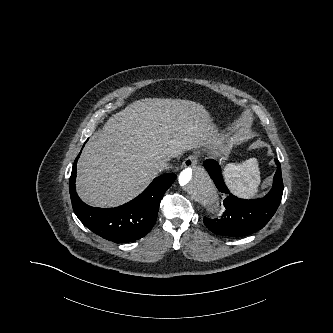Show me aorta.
<instances>
[{"mask_svg":"<svg viewBox=\"0 0 333 333\" xmlns=\"http://www.w3.org/2000/svg\"><path fill=\"white\" fill-rule=\"evenodd\" d=\"M178 185L195 204L215 219L223 211L221 197L208 173L201 167L186 168L178 176Z\"/></svg>","mask_w":333,"mask_h":333,"instance_id":"1","label":"aorta"}]
</instances>
